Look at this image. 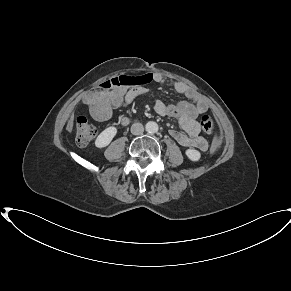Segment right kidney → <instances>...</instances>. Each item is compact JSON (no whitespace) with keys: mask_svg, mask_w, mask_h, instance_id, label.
<instances>
[{"mask_svg":"<svg viewBox=\"0 0 291 291\" xmlns=\"http://www.w3.org/2000/svg\"><path fill=\"white\" fill-rule=\"evenodd\" d=\"M117 134V129L114 126H110L103 130L95 140V146L97 148H103L110 144L112 139Z\"/></svg>","mask_w":291,"mask_h":291,"instance_id":"1","label":"right kidney"}]
</instances>
